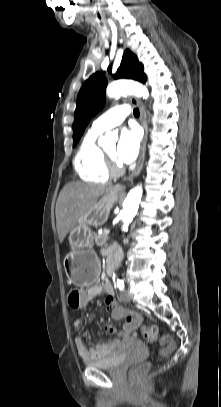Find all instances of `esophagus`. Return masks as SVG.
Instances as JSON below:
<instances>
[{
  "label": "esophagus",
  "mask_w": 221,
  "mask_h": 407,
  "mask_svg": "<svg viewBox=\"0 0 221 407\" xmlns=\"http://www.w3.org/2000/svg\"><path fill=\"white\" fill-rule=\"evenodd\" d=\"M130 101L132 104L137 106L140 110V122L144 128V137L142 140L140 156H139L137 167L132 172V174L128 177V179H127L128 182H132L133 179L139 175V173L143 167V163H144V159H145V152H146V143H147V138H148V124H147V115H146L145 107H144L143 103L135 97H130ZM125 190H126L125 183H118L115 186H113L111 189V191L115 194H122L125 192Z\"/></svg>",
  "instance_id": "1"
}]
</instances>
